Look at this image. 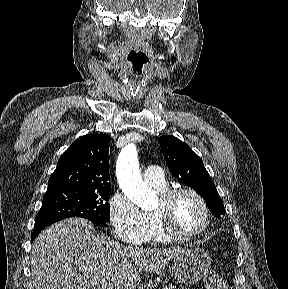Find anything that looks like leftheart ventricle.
<instances>
[{"label": "left heart ventricle", "instance_id": "obj_1", "mask_svg": "<svg viewBox=\"0 0 288 289\" xmlns=\"http://www.w3.org/2000/svg\"><path fill=\"white\" fill-rule=\"evenodd\" d=\"M159 200L154 212L161 211ZM170 220L172 227L179 232L189 233L200 227L203 222V211L198 201L190 195L178 197L171 205Z\"/></svg>", "mask_w": 288, "mask_h": 289}]
</instances>
